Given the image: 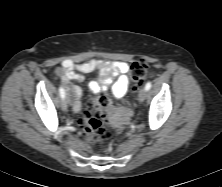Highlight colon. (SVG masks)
Returning <instances> with one entry per match:
<instances>
[{
	"instance_id": "colon-1",
	"label": "colon",
	"mask_w": 222,
	"mask_h": 187,
	"mask_svg": "<svg viewBox=\"0 0 222 187\" xmlns=\"http://www.w3.org/2000/svg\"><path fill=\"white\" fill-rule=\"evenodd\" d=\"M147 72L148 64L144 60H137L131 64L130 73L136 88L144 82ZM109 123L120 127L124 123V115L112 107L105 95L97 97L78 121L90 144L102 143L111 147L117 143L120 131L116 133L107 131L105 125Z\"/></svg>"
}]
</instances>
